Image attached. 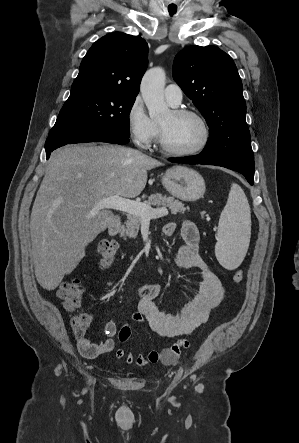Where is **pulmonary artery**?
Here are the masks:
<instances>
[{
    "instance_id": "obj_1",
    "label": "pulmonary artery",
    "mask_w": 299,
    "mask_h": 443,
    "mask_svg": "<svg viewBox=\"0 0 299 443\" xmlns=\"http://www.w3.org/2000/svg\"><path fill=\"white\" fill-rule=\"evenodd\" d=\"M165 98L171 106H177L183 98L182 89L177 84H169L164 91Z\"/></svg>"
}]
</instances>
